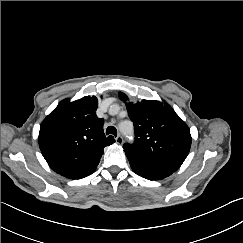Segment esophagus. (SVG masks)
<instances>
[{
    "mask_svg": "<svg viewBox=\"0 0 243 243\" xmlns=\"http://www.w3.org/2000/svg\"><path fill=\"white\" fill-rule=\"evenodd\" d=\"M115 140H116V143H117V144H122V143H123V137H122L121 135H118V136L115 138Z\"/></svg>",
    "mask_w": 243,
    "mask_h": 243,
    "instance_id": "obj_1",
    "label": "esophagus"
}]
</instances>
